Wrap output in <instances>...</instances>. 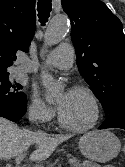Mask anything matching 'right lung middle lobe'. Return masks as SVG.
Wrapping results in <instances>:
<instances>
[{
    "label": "right lung middle lobe",
    "mask_w": 125,
    "mask_h": 167,
    "mask_svg": "<svg viewBox=\"0 0 125 167\" xmlns=\"http://www.w3.org/2000/svg\"><path fill=\"white\" fill-rule=\"evenodd\" d=\"M21 89L22 85L9 80V73L0 74V97L12 102H23L26 97Z\"/></svg>",
    "instance_id": "dd1d6c3e"
}]
</instances>
